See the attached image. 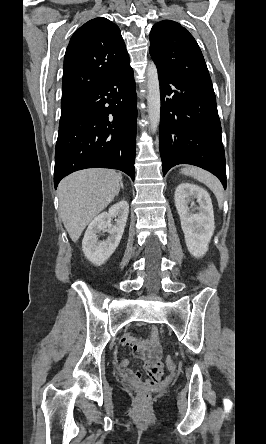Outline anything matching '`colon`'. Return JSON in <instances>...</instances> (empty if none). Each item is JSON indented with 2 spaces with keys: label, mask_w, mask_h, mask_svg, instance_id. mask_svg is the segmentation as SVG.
<instances>
[{
  "label": "colon",
  "mask_w": 266,
  "mask_h": 444,
  "mask_svg": "<svg viewBox=\"0 0 266 444\" xmlns=\"http://www.w3.org/2000/svg\"><path fill=\"white\" fill-rule=\"evenodd\" d=\"M166 365L169 370L175 369V363L172 357L170 356L166 357ZM149 399H150V394L147 391H143L138 395V403L141 405L147 404Z\"/></svg>",
  "instance_id": "5ec220e1"
}]
</instances>
